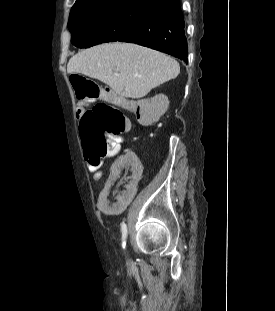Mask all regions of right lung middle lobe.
<instances>
[{
  "label": "right lung middle lobe",
  "mask_w": 275,
  "mask_h": 311,
  "mask_svg": "<svg viewBox=\"0 0 275 311\" xmlns=\"http://www.w3.org/2000/svg\"><path fill=\"white\" fill-rule=\"evenodd\" d=\"M156 0H83L71 9V42L79 48L116 41L137 20L161 5Z\"/></svg>",
  "instance_id": "dd1d6c3e"
}]
</instances>
